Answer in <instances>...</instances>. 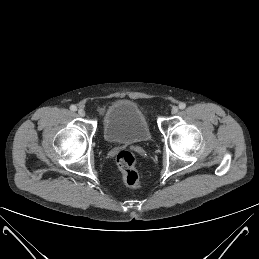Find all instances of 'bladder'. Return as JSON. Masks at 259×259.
I'll use <instances>...</instances> for the list:
<instances>
[{
    "instance_id": "1",
    "label": "bladder",
    "mask_w": 259,
    "mask_h": 259,
    "mask_svg": "<svg viewBox=\"0 0 259 259\" xmlns=\"http://www.w3.org/2000/svg\"><path fill=\"white\" fill-rule=\"evenodd\" d=\"M103 136L111 144H141L151 140V131L139 106L122 99L107 108L103 117Z\"/></svg>"
}]
</instances>
